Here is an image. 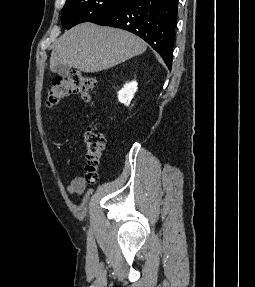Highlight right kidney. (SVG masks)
I'll use <instances>...</instances> for the list:
<instances>
[{
    "label": "right kidney",
    "mask_w": 255,
    "mask_h": 287,
    "mask_svg": "<svg viewBox=\"0 0 255 287\" xmlns=\"http://www.w3.org/2000/svg\"><path fill=\"white\" fill-rule=\"evenodd\" d=\"M137 82H129V84H125L124 88L118 92V100L121 104H125V106H129L135 92H137Z\"/></svg>",
    "instance_id": "right-kidney-1"
}]
</instances>
